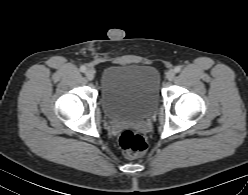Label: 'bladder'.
<instances>
[{
	"instance_id": "1",
	"label": "bladder",
	"mask_w": 248,
	"mask_h": 195,
	"mask_svg": "<svg viewBox=\"0 0 248 195\" xmlns=\"http://www.w3.org/2000/svg\"><path fill=\"white\" fill-rule=\"evenodd\" d=\"M161 78L151 65L119 64L100 77V103L110 120H141L158 105Z\"/></svg>"
}]
</instances>
